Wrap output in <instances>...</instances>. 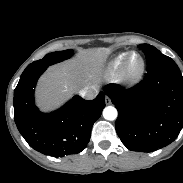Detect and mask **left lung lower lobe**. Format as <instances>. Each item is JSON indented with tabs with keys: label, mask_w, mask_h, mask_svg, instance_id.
I'll use <instances>...</instances> for the list:
<instances>
[{
	"label": "left lung lower lobe",
	"mask_w": 183,
	"mask_h": 183,
	"mask_svg": "<svg viewBox=\"0 0 183 183\" xmlns=\"http://www.w3.org/2000/svg\"><path fill=\"white\" fill-rule=\"evenodd\" d=\"M104 91L118 110L117 134L131 151L163 148L183 128V76L176 64L147 71L132 88L108 84Z\"/></svg>",
	"instance_id": "left-lung-lower-lobe-1"
}]
</instances>
